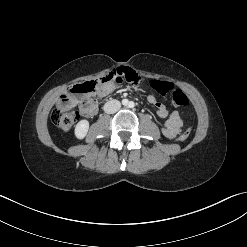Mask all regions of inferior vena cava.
Masks as SVG:
<instances>
[{
	"label": "inferior vena cava",
	"mask_w": 247,
	"mask_h": 247,
	"mask_svg": "<svg viewBox=\"0 0 247 247\" xmlns=\"http://www.w3.org/2000/svg\"><path fill=\"white\" fill-rule=\"evenodd\" d=\"M121 108V103L118 100H110L105 103L104 111L107 114H113Z\"/></svg>",
	"instance_id": "1"
}]
</instances>
